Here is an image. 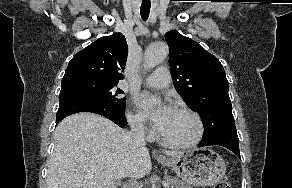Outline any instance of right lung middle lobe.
I'll use <instances>...</instances> for the list:
<instances>
[{
	"label": "right lung middle lobe",
	"mask_w": 292,
	"mask_h": 188,
	"mask_svg": "<svg viewBox=\"0 0 292 188\" xmlns=\"http://www.w3.org/2000/svg\"><path fill=\"white\" fill-rule=\"evenodd\" d=\"M123 93L116 82L80 77L62 80L59 99L82 98L105 109L122 112L126 102V98L121 96Z\"/></svg>",
	"instance_id": "1"
}]
</instances>
